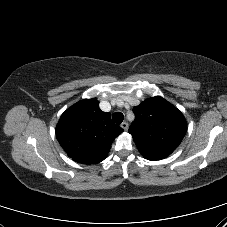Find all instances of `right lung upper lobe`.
I'll return each mask as SVG.
<instances>
[{
    "mask_svg": "<svg viewBox=\"0 0 227 227\" xmlns=\"http://www.w3.org/2000/svg\"><path fill=\"white\" fill-rule=\"evenodd\" d=\"M123 129L111 121L110 113L99 108L96 98L83 99L60 117L56 137L72 160L99 163L107 157L114 139Z\"/></svg>",
    "mask_w": 227,
    "mask_h": 227,
    "instance_id": "right-lung-upper-lobe-1",
    "label": "right lung upper lobe"
}]
</instances>
